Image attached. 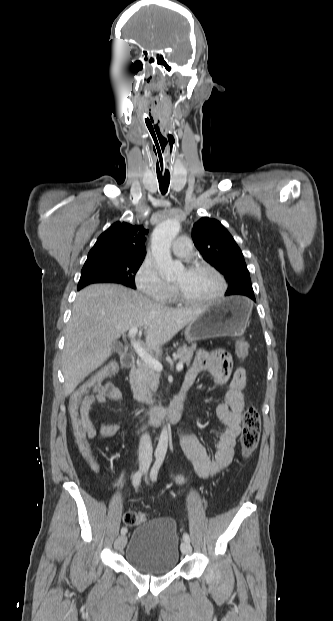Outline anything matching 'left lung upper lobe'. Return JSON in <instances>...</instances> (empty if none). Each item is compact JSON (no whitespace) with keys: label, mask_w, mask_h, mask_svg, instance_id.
Returning a JSON list of instances; mask_svg holds the SVG:
<instances>
[{"label":"left lung upper lobe","mask_w":333,"mask_h":621,"mask_svg":"<svg viewBox=\"0 0 333 621\" xmlns=\"http://www.w3.org/2000/svg\"><path fill=\"white\" fill-rule=\"evenodd\" d=\"M192 238L204 260L228 279L225 295H243L255 299L243 254L218 220L208 217L199 219L194 224Z\"/></svg>","instance_id":"1"}]
</instances>
